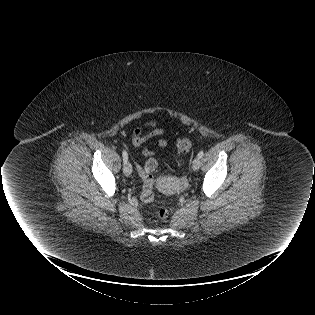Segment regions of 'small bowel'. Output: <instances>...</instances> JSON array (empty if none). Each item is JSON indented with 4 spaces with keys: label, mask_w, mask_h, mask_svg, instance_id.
<instances>
[{
    "label": "small bowel",
    "mask_w": 315,
    "mask_h": 315,
    "mask_svg": "<svg viewBox=\"0 0 315 315\" xmlns=\"http://www.w3.org/2000/svg\"><path fill=\"white\" fill-rule=\"evenodd\" d=\"M150 128L151 130L147 133H143V129ZM165 130L160 126L159 122L157 120H150L144 122L139 127H136L132 132V144L135 147H142L150 140L157 138L161 135H163ZM168 141L165 139H159L156 142V146L159 148H165L168 146ZM142 154L146 157H150L154 155V152L149 147H144L142 150Z\"/></svg>",
    "instance_id": "1"
}]
</instances>
